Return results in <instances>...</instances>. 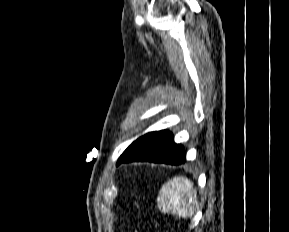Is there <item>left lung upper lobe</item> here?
<instances>
[{
  "label": "left lung upper lobe",
  "instance_id": "obj_1",
  "mask_svg": "<svg viewBox=\"0 0 289 232\" xmlns=\"http://www.w3.org/2000/svg\"><path fill=\"white\" fill-rule=\"evenodd\" d=\"M157 132H150L147 133L140 138H138L136 141H134L120 156L117 165H119L122 161H124L126 158H128L130 155H132L134 152H136L146 141H148L154 134Z\"/></svg>",
  "mask_w": 289,
  "mask_h": 232
}]
</instances>
